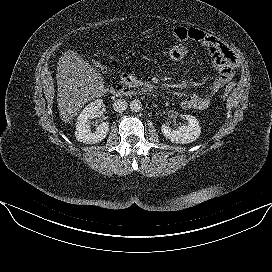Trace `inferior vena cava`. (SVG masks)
I'll list each match as a JSON object with an SVG mask.
<instances>
[{
	"label": "inferior vena cava",
	"mask_w": 272,
	"mask_h": 272,
	"mask_svg": "<svg viewBox=\"0 0 272 272\" xmlns=\"http://www.w3.org/2000/svg\"><path fill=\"white\" fill-rule=\"evenodd\" d=\"M127 106L128 104L124 99H117L113 104L114 110L119 113L124 112Z\"/></svg>",
	"instance_id": "inferior-vena-cava-1"
}]
</instances>
